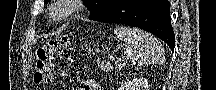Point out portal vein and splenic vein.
I'll list each match as a JSON object with an SVG mask.
<instances>
[{"label": "portal vein and splenic vein", "instance_id": "1", "mask_svg": "<svg viewBox=\"0 0 216 90\" xmlns=\"http://www.w3.org/2000/svg\"><path fill=\"white\" fill-rule=\"evenodd\" d=\"M116 66H118V68H122L123 64H121V62H116Z\"/></svg>", "mask_w": 216, "mask_h": 90}]
</instances>
